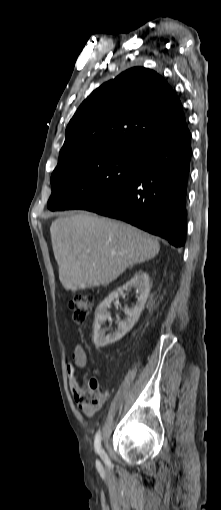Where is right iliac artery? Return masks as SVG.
Listing matches in <instances>:
<instances>
[{"instance_id":"1","label":"right iliac artery","mask_w":221,"mask_h":510,"mask_svg":"<svg viewBox=\"0 0 221 510\" xmlns=\"http://www.w3.org/2000/svg\"><path fill=\"white\" fill-rule=\"evenodd\" d=\"M95 451L102 457V459L106 463H110L107 454L101 447V433L98 431L95 436V442H94Z\"/></svg>"}]
</instances>
